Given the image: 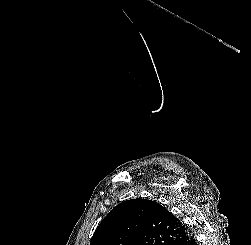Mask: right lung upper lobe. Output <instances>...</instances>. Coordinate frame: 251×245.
Instances as JSON below:
<instances>
[{
    "instance_id": "obj_1",
    "label": "right lung upper lobe",
    "mask_w": 251,
    "mask_h": 245,
    "mask_svg": "<svg viewBox=\"0 0 251 245\" xmlns=\"http://www.w3.org/2000/svg\"><path fill=\"white\" fill-rule=\"evenodd\" d=\"M186 232L181 220L159 203L131 199L108 213L90 245H171Z\"/></svg>"
}]
</instances>
